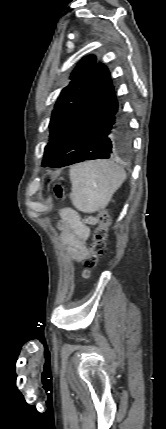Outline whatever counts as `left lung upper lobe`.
I'll return each mask as SVG.
<instances>
[{"label": "left lung upper lobe", "mask_w": 166, "mask_h": 429, "mask_svg": "<svg viewBox=\"0 0 166 429\" xmlns=\"http://www.w3.org/2000/svg\"><path fill=\"white\" fill-rule=\"evenodd\" d=\"M96 62L94 55L83 58L72 72L70 84L61 91L60 97L52 112L49 129V143L45 146L42 166L54 154L64 130L68 124L72 110L85 89Z\"/></svg>", "instance_id": "left-lung-upper-lobe-1"}]
</instances>
